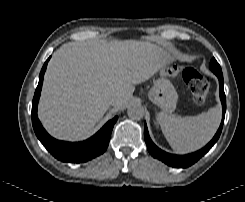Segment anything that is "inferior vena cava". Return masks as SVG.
<instances>
[{
  "instance_id": "inferior-vena-cava-1",
  "label": "inferior vena cava",
  "mask_w": 245,
  "mask_h": 202,
  "mask_svg": "<svg viewBox=\"0 0 245 202\" xmlns=\"http://www.w3.org/2000/svg\"><path fill=\"white\" fill-rule=\"evenodd\" d=\"M108 102L110 105H115L118 102V96L117 95L109 96Z\"/></svg>"
}]
</instances>
